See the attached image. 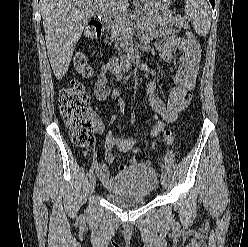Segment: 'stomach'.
<instances>
[{
  "instance_id": "0dacf381",
  "label": "stomach",
  "mask_w": 248,
  "mask_h": 247,
  "mask_svg": "<svg viewBox=\"0 0 248 247\" xmlns=\"http://www.w3.org/2000/svg\"><path fill=\"white\" fill-rule=\"evenodd\" d=\"M141 1L150 10H164L170 4V0H141Z\"/></svg>"
}]
</instances>
